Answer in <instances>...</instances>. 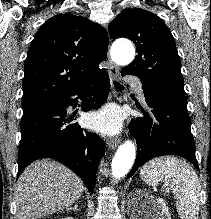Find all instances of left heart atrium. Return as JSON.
Masks as SVG:
<instances>
[{
	"label": "left heart atrium",
	"mask_w": 211,
	"mask_h": 219,
	"mask_svg": "<svg viewBox=\"0 0 211 219\" xmlns=\"http://www.w3.org/2000/svg\"><path fill=\"white\" fill-rule=\"evenodd\" d=\"M88 125L105 134H114L119 131L121 121L118 114L112 109H105L100 113L91 115Z\"/></svg>",
	"instance_id": "obj_1"
}]
</instances>
